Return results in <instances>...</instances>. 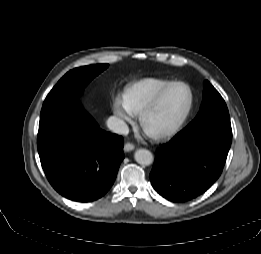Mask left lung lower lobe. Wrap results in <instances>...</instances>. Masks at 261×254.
<instances>
[{"instance_id":"1","label":"left lung lower lobe","mask_w":261,"mask_h":254,"mask_svg":"<svg viewBox=\"0 0 261 254\" xmlns=\"http://www.w3.org/2000/svg\"><path fill=\"white\" fill-rule=\"evenodd\" d=\"M231 141V124L182 130L157 150L150 173L152 186L172 202L197 198L221 175Z\"/></svg>"}]
</instances>
